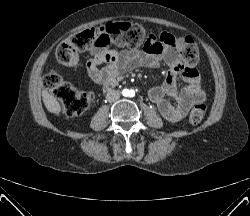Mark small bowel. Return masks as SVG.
Wrapping results in <instances>:
<instances>
[{
  "label": "small bowel",
  "mask_w": 250,
  "mask_h": 216,
  "mask_svg": "<svg viewBox=\"0 0 250 216\" xmlns=\"http://www.w3.org/2000/svg\"><path fill=\"white\" fill-rule=\"evenodd\" d=\"M143 47L142 50L124 51L94 48L86 62L87 74L94 83L105 85L139 67L157 68L164 61L169 66L165 81L163 85L151 88L148 96L167 121L179 122L192 106L205 100L199 73L184 64L176 47V39L170 33L147 35ZM101 64L106 66L100 69ZM178 76L185 80V86L180 91L176 83Z\"/></svg>",
  "instance_id": "1"
}]
</instances>
